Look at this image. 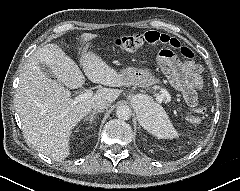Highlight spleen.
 I'll use <instances>...</instances> for the list:
<instances>
[{
    "instance_id": "obj_1",
    "label": "spleen",
    "mask_w": 240,
    "mask_h": 191,
    "mask_svg": "<svg viewBox=\"0 0 240 191\" xmlns=\"http://www.w3.org/2000/svg\"><path fill=\"white\" fill-rule=\"evenodd\" d=\"M140 121L141 125L158 139H173L178 136L163 108L151 102Z\"/></svg>"
}]
</instances>
